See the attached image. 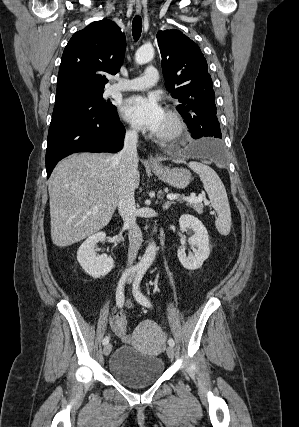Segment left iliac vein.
<instances>
[{"mask_svg":"<svg viewBox=\"0 0 299 427\" xmlns=\"http://www.w3.org/2000/svg\"><path fill=\"white\" fill-rule=\"evenodd\" d=\"M130 280L131 279H129L128 281H130ZM166 352H167V355H168L169 358H171V359L174 358L175 352H174L173 346H168L167 349H166Z\"/></svg>","mask_w":299,"mask_h":427,"instance_id":"obj_1","label":"left iliac vein"}]
</instances>
